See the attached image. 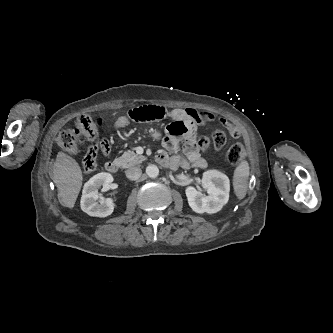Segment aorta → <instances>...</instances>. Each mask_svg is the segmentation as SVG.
<instances>
[{
  "label": "aorta",
  "instance_id": "762f6f07",
  "mask_svg": "<svg viewBox=\"0 0 333 333\" xmlns=\"http://www.w3.org/2000/svg\"><path fill=\"white\" fill-rule=\"evenodd\" d=\"M146 174L150 177V178H156L159 175V169L156 165H148L146 167Z\"/></svg>",
  "mask_w": 333,
  "mask_h": 333
}]
</instances>
